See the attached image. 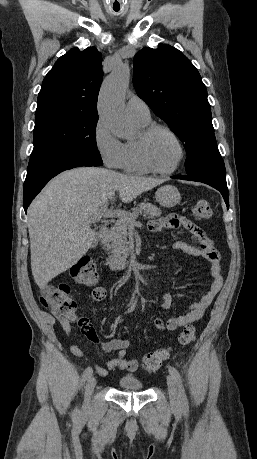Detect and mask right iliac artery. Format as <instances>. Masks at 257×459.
<instances>
[{"mask_svg":"<svg viewBox=\"0 0 257 459\" xmlns=\"http://www.w3.org/2000/svg\"><path fill=\"white\" fill-rule=\"evenodd\" d=\"M93 373L92 367H87L83 373V380H87ZM78 412L77 409L74 410V414L76 415Z\"/></svg>","mask_w":257,"mask_h":459,"instance_id":"82829eb1","label":"right iliac artery"}]
</instances>
